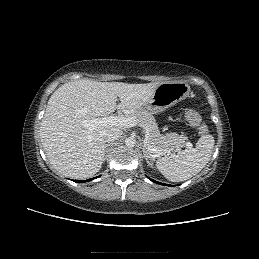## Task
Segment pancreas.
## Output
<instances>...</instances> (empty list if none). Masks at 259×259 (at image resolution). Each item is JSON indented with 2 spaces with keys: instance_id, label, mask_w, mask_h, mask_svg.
I'll return each mask as SVG.
<instances>
[{
  "instance_id": "cf45deb5",
  "label": "pancreas",
  "mask_w": 259,
  "mask_h": 259,
  "mask_svg": "<svg viewBox=\"0 0 259 259\" xmlns=\"http://www.w3.org/2000/svg\"><path fill=\"white\" fill-rule=\"evenodd\" d=\"M127 117H133L138 125L144 128V134L147 142L153 148L163 150H174L175 148L188 146L187 136L178 135L175 132L160 134L157 123L153 115L143 110H133L126 114Z\"/></svg>"
}]
</instances>
